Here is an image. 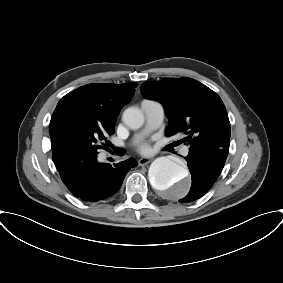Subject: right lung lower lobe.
I'll list each match as a JSON object with an SVG mask.
<instances>
[{
    "label": "right lung lower lobe",
    "instance_id": "right-lung-lower-lobe-1",
    "mask_svg": "<svg viewBox=\"0 0 283 283\" xmlns=\"http://www.w3.org/2000/svg\"><path fill=\"white\" fill-rule=\"evenodd\" d=\"M97 154L87 151L56 166L67 188L75 197L84 201L96 202L114 195L127 172L137 166L133 158L114 166L100 163Z\"/></svg>",
    "mask_w": 283,
    "mask_h": 283
}]
</instances>
